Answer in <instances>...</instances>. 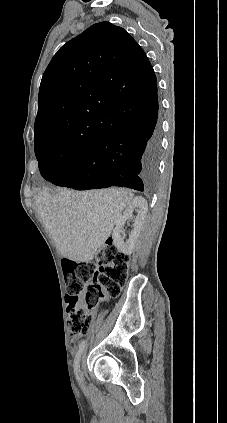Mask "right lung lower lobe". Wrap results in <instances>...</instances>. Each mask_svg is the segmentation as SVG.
<instances>
[{"label":"right lung lower lobe","mask_w":227,"mask_h":423,"mask_svg":"<svg viewBox=\"0 0 227 423\" xmlns=\"http://www.w3.org/2000/svg\"><path fill=\"white\" fill-rule=\"evenodd\" d=\"M157 88L147 100L116 104L108 115L127 122L124 129L105 132L88 154L65 170L39 165L47 181L76 190L120 186L149 191L155 184L161 149Z\"/></svg>","instance_id":"right-lung-lower-lobe-1"}]
</instances>
